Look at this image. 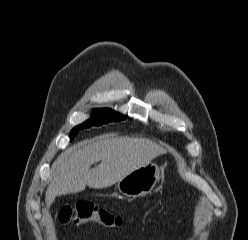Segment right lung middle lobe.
Listing matches in <instances>:
<instances>
[{
  "instance_id": "dd1d6c3e",
  "label": "right lung middle lobe",
  "mask_w": 248,
  "mask_h": 240,
  "mask_svg": "<svg viewBox=\"0 0 248 240\" xmlns=\"http://www.w3.org/2000/svg\"><path fill=\"white\" fill-rule=\"evenodd\" d=\"M121 114L111 110V109H94L92 113V117L84 122L83 124L74 127L70 133V140H72L79 132L80 129L88 128L90 126H99L108 122L123 120Z\"/></svg>"
}]
</instances>
